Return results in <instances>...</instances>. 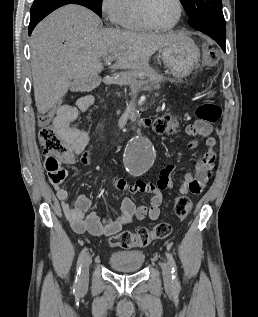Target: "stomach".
Segmentation results:
<instances>
[{
  "label": "stomach",
  "mask_w": 258,
  "mask_h": 317,
  "mask_svg": "<svg viewBox=\"0 0 258 317\" xmlns=\"http://www.w3.org/2000/svg\"><path fill=\"white\" fill-rule=\"evenodd\" d=\"M162 60L173 76H187L200 58V50L190 36H183L178 42L162 48Z\"/></svg>",
  "instance_id": "obj_1"
}]
</instances>
